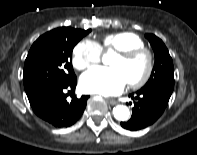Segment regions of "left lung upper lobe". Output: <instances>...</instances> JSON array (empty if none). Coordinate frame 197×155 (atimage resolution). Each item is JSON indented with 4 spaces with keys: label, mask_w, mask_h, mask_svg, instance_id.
I'll return each instance as SVG.
<instances>
[{
    "label": "left lung upper lobe",
    "mask_w": 197,
    "mask_h": 155,
    "mask_svg": "<svg viewBox=\"0 0 197 155\" xmlns=\"http://www.w3.org/2000/svg\"><path fill=\"white\" fill-rule=\"evenodd\" d=\"M155 54V64L151 77L141 90L161 91L171 95L174 88V67L172 58L162 42V40L153 34H146Z\"/></svg>",
    "instance_id": "obj_1"
}]
</instances>
